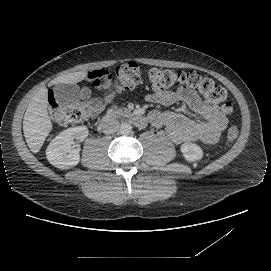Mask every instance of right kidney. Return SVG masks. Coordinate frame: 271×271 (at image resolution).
<instances>
[{
    "mask_svg": "<svg viewBox=\"0 0 271 271\" xmlns=\"http://www.w3.org/2000/svg\"><path fill=\"white\" fill-rule=\"evenodd\" d=\"M86 126H75L59 133L49 144L46 156L58 168L73 167L79 161L80 144L88 135Z\"/></svg>",
    "mask_w": 271,
    "mask_h": 271,
    "instance_id": "obj_1",
    "label": "right kidney"
}]
</instances>
